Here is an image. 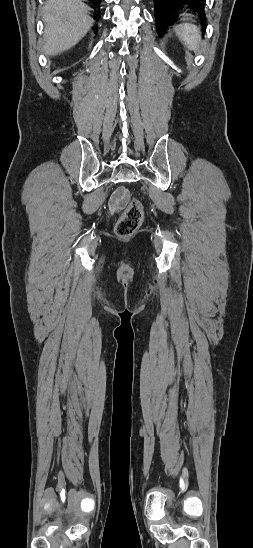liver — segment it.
Instances as JSON below:
<instances>
[{"label":"liver","mask_w":253,"mask_h":548,"mask_svg":"<svg viewBox=\"0 0 253 548\" xmlns=\"http://www.w3.org/2000/svg\"><path fill=\"white\" fill-rule=\"evenodd\" d=\"M89 7L79 0H47L42 19L44 53L55 56L75 46L91 29Z\"/></svg>","instance_id":"liver-1"}]
</instances>
